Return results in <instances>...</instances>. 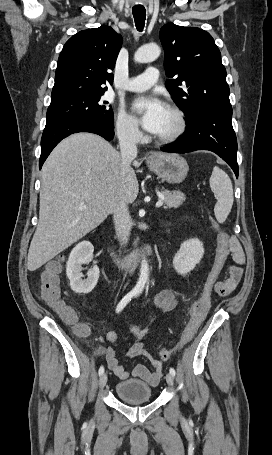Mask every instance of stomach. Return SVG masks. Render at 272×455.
Listing matches in <instances>:
<instances>
[{
	"instance_id": "stomach-1",
	"label": "stomach",
	"mask_w": 272,
	"mask_h": 455,
	"mask_svg": "<svg viewBox=\"0 0 272 455\" xmlns=\"http://www.w3.org/2000/svg\"><path fill=\"white\" fill-rule=\"evenodd\" d=\"M151 171L169 183H181L187 176V161L178 154L157 153L147 161Z\"/></svg>"
}]
</instances>
